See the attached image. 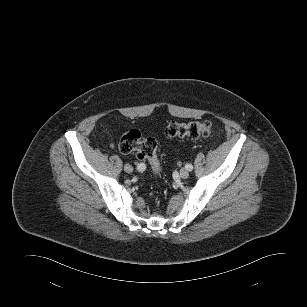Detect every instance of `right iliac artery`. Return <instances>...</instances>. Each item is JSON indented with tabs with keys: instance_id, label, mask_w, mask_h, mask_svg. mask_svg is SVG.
Wrapping results in <instances>:
<instances>
[{
	"instance_id": "1",
	"label": "right iliac artery",
	"mask_w": 307,
	"mask_h": 307,
	"mask_svg": "<svg viewBox=\"0 0 307 307\" xmlns=\"http://www.w3.org/2000/svg\"><path fill=\"white\" fill-rule=\"evenodd\" d=\"M145 168H146V166H145V164H143V163L138 164V166H137V170L140 171V172L144 171Z\"/></svg>"
}]
</instances>
